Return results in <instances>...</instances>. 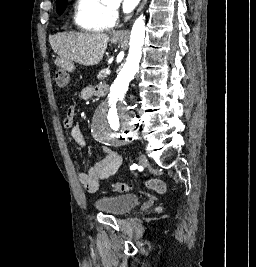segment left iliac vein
I'll return each instance as SVG.
<instances>
[{
  "label": "left iliac vein",
  "mask_w": 256,
  "mask_h": 267,
  "mask_svg": "<svg viewBox=\"0 0 256 267\" xmlns=\"http://www.w3.org/2000/svg\"><path fill=\"white\" fill-rule=\"evenodd\" d=\"M138 161L141 166H146L148 163V160L145 154H140Z\"/></svg>",
  "instance_id": "1"
}]
</instances>
